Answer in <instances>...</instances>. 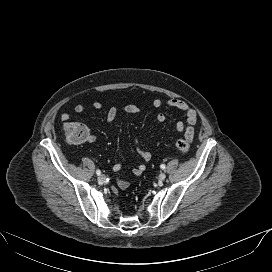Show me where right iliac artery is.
Segmentation results:
<instances>
[{
	"instance_id": "obj_1",
	"label": "right iliac artery",
	"mask_w": 272,
	"mask_h": 272,
	"mask_svg": "<svg viewBox=\"0 0 272 272\" xmlns=\"http://www.w3.org/2000/svg\"><path fill=\"white\" fill-rule=\"evenodd\" d=\"M96 174H97V175H100V174H101V171H100V170H96Z\"/></svg>"
}]
</instances>
